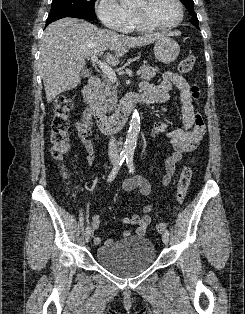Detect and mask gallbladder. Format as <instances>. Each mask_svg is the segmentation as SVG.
I'll use <instances>...</instances> for the list:
<instances>
[{"label":"gallbladder","mask_w":245,"mask_h":314,"mask_svg":"<svg viewBox=\"0 0 245 314\" xmlns=\"http://www.w3.org/2000/svg\"><path fill=\"white\" fill-rule=\"evenodd\" d=\"M91 75V71L89 70V69H84V70H82V72H81V76L83 77V78H87V77H89Z\"/></svg>","instance_id":"bac80fb5"}]
</instances>
